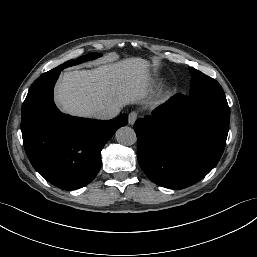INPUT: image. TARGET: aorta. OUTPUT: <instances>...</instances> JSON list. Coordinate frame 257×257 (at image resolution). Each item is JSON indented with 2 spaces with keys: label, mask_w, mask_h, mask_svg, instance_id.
I'll return each instance as SVG.
<instances>
[{
  "label": "aorta",
  "mask_w": 257,
  "mask_h": 257,
  "mask_svg": "<svg viewBox=\"0 0 257 257\" xmlns=\"http://www.w3.org/2000/svg\"><path fill=\"white\" fill-rule=\"evenodd\" d=\"M115 137L118 143L126 146L133 145L137 141L135 131L127 126L119 128L116 131Z\"/></svg>",
  "instance_id": "obj_1"
}]
</instances>
